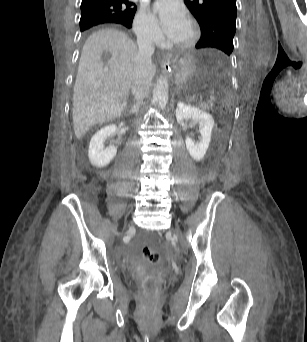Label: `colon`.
<instances>
[{"label":"colon","mask_w":307,"mask_h":342,"mask_svg":"<svg viewBox=\"0 0 307 342\" xmlns=\"http://www.w3.org/2000/svg\"><path fill=\"white\" fill-rule=\"evenodd\" d=\"M217 129L219 131H225L226 130V124L223 122L218 123ZM142 254L147 261H149L152 264H155L156 268L162 267L160 254L158 252H156L155 250L151 249L150 246H143L142 247Z\"/></svg>","instance_id":"1"}]
</instances>
